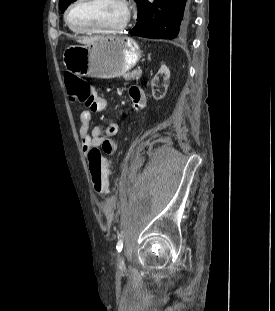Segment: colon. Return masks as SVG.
Returning <instances> with one entry per match:
<instances>
[{
    "label": "colon",
    "mask_w": 275,
    "mask_h": 311,
    "mask_svg": "<svg viewBox=\"0 0 275 311\" xmlns=\"http://www.w3.org/2000/svg\"><path fill=\"white\" fill-rule=\"evenodd\" d=\"M69 99L74 104L88 105L94 100V89L90 83L67 73L64 76ZM109 159L103 157L97 148L89 154V168L93 189L104 194L109 188Z\"/></svg>",
    "instance_id": "obj_1"
}]
</instances>
